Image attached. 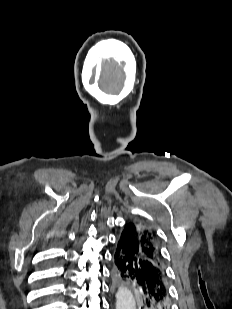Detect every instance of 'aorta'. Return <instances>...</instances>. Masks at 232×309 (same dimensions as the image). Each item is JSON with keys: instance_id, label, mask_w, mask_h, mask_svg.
Instances as JSON below:
<instances>
[{"instance_id": "obj_1", "label": "aorta", "mask_w": 232, "mask_h": 309, "mask_svg": "<svg viewBox=\"0 0 232 309\" xmlns=\"http://www.w3.org/2000/svg\"><path fill=\"white\" fill-rule=\"evenodd\" d=\"M116 309H136V303L131 291L125 287L116 293Z\"/></svg>"}]
</instances>
